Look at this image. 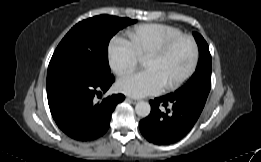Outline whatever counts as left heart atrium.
I'll use <instances>...</instances> for the list:
<instances>
[{"label": "left heart atrium", "mask_w": 261, "mask_h": 162, "mask_svg": "<svg viewBox=\"0 0 261 162\" xmlns=\"http://www.w3.org/2000/svg\"><path fill=\"white\" fill-rule=\"evenodd\" d=\"M117 87L122 93L132 97H144L160 93L164 84L158 73L152 69L120 78Z\"/></svg>", "instance_id": "39dd6f15"}]
</instances>
